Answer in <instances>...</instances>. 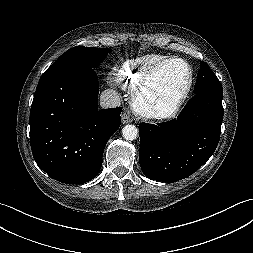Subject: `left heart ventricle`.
Returning a JSON list of instances; mask_svg holds the SVG:
<instances>
[{"mask_svg": "<svg viewBox=\"0 0 253 253\" xmlns=\"http://www.w3.org/2000/svg\"><path fill=\"white\" fill-rule=\"evenodd\" d=\"M189 72L181 62H171L161 68L151 80L145 100L154 108L165 111L185 89Z\"/></svg>", "mask_w": 253, "mask_h": 253, "instance_id": "left-heart-ventricle-1", "label": "left heart ventricle"}]
</instances>
